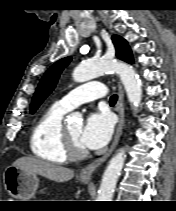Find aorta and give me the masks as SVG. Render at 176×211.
I'll return each instance as SVG.
<instances>
[{"mask_svg":"<svg viewBox=\"0 0 176 211\" xmlns=\"http://www.w3.org/2000/svg\"><path fill=\"white\" fill-rule=\"evenodd\" d=\"M109 72L119 74L131 106L137 109L142 100V85L138 75L131 66L108 59L88 60L75 67L72 76L76 82H86ZM72 116L82 120V116L79 113H74ZM125 157V150L120 149L109 161L102 177L97 201H112Z\"/></svg>","mask_w":176,"mask_h":211,"instance_id":"aorta-1","label":"aorta"}]
</instances>
